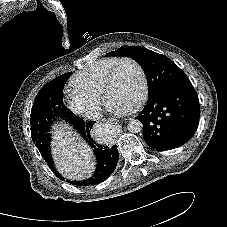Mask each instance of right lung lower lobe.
Wrapping results in <instances>:
<instances>
[{
	"label": "right lung lower lobe",
	"mask_w": 227,
	"mask_h": 227,
	"mask_svg": "<svg viewBox=\"0 0 227 227\" xmlns=\"http://www.w3.org/2000/svg\"><path fill=\"white\" fill-rule=\"evenodd\" d=\"M66 121L71 125H73L74 128L89 143L91 148H93V151L97 160V168L95 170L94 175L91 178L83 181L66 180V182H69L70 184L78 185V186H88V185H94L102 182L107 177H109L116 168V165L119 160V153H118L117 147L115 145L112 147L102 146L95 143V141L91 138V135H90L91 128L95 123L94 121H88L85 123L81 118L75 115H73L72 118ZM43 158L45 159V161L47 162L48 166L53 171V173L59 179L65 181V178L61 174H59L55 169L50 151L47 155L43 156Z\"/></svg>",
	"instance_id": "right-lung-lower-lobe-1"
}]
</instances>
